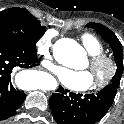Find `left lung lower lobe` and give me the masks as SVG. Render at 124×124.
<instances>
[{"instance_id": "0a47b994", "label": "left lung lower lobe", "mask_w": 124, "mask_h": 124, "mask_svg": "<svg viewBox=\"0 0 124 124\" xmlns=\"http://www.w3.org/2000/svg\"><path fill=\"white\" fill-rule=\"evenodd\" d=\"M117 89L107 85L92 94H76L61 86L49 99V106L58 124H95L113 104Z\"/></svg>"}]
</instances>
